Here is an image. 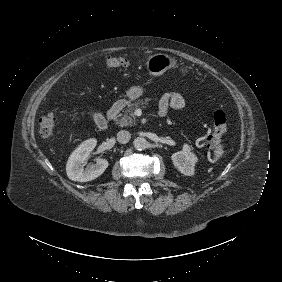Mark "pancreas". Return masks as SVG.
<instances>
[{"label": "pancreas", "instance_id": "cf45deb5", "mask_svg": "<svg viewBox=\"0 0 282 282\" xmlns=\"http://www.w3.org/2000/svg\"><path fill=\"white\" fill-rule=\"evenodd\" d=\"M145 101L135 102L134 104H129L126 110L121 114L120 125L131 126L137 124L136 116L134 114L135 109L139 108Z\"/></svg>", "mask_w": 282, "mask_h": 282}]
</instances>
